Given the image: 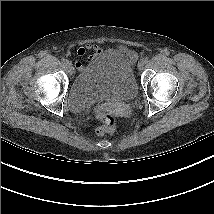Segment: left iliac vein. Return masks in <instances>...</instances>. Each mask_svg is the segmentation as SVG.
<instances>
[{"mask_svg": "<svg viewBox=\"0 0 214 214\" xmlns=\"http://www.w3.org/2000/svg\"><path fill=\"white\" fill-rule=\"evenodd\" d=\"M144 65H145V62L143 60H141L139 63H138V69L139 70H142L144 68Z\"/></svg>", "mask_w": 214, "mask_h": 214, "instance_id": "1", "label": "left iliac vein"}]
</instances>
